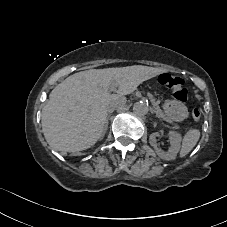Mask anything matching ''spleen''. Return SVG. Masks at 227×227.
I'll return each mask as SVG.
<instances>
[{"label": "spleen", "mask_w": 227, "mask_h": 227, "mask_svg": "<svg viewBox=\"0 0 227 227\" xmlns=\"http://www.w3.org/2000/svg\"><path fill=\"white\" fill-rule=\"evenodd\" d=\"M200 138V131L198 129H191L185 134L180 150V157L186 156L197 144Z\"/></svg>", "instance_id": "3e777b00"}]
</instances>
